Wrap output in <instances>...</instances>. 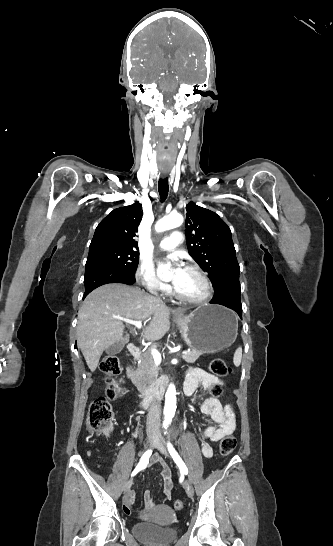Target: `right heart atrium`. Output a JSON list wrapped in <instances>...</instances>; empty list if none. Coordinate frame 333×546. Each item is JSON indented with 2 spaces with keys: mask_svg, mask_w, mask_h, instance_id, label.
<instances>
[{
  "mask_svg": "<svg viewBox=\"0 0 333 546\" xmlns=\"http://www.w3.org/2000/svg\"><path fill=\"white\" fill-rule=\"evenodd\" d=\"M136 279L148 291L159 293L168 291V286L158 279L150 263L143 262L140 264L136 272Z\"/></svg>",
  "mask_w": 333,
  "mask_h": 546,
  "instance_id": "obj_1",
  "label": "right heart atrium"
}]
</instances>
